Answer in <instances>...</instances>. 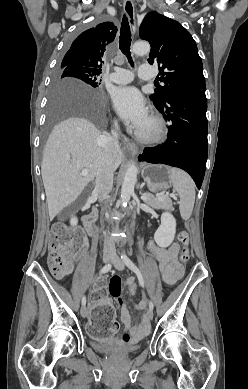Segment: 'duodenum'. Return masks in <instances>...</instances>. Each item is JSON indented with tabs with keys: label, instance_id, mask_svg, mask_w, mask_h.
<instances>
[{
	"label": "duodenum",
	"instance_id": "duodenum-1",
	"mask_svg": "<svg viewBox=\"0 0 248 389\" xmlns=\"http://www.w3.org/2000/svg\"><path fill=\"white\" fill-rule=\"evenodd\" d=\"M96 218V213L92 210L90 213L83 216V224L88 234L93 233V223Z\"/></svg>",
	"mask_w": 248,
	"mask_h": 389
}]
</instances>
